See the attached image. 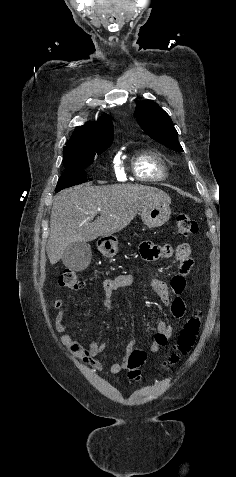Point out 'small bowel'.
Returning <instances> with one entry per match:
<instances>
[{"label": "small bowel", "instance_id": "1", "mask_svg": "<svg viewBox=\"0 0 236 477\" xmlns=\"http://www.w3.org/2000/svg\"><path fill=\"white\" fill-rule=\"evenodd\" d=\"M190 246L186 243L178 245L174 250L171 244L157 245L153 242L147 241L141 245V257L148 261H155L159 259H168L175 253L179 260V272L171 281V287L165 281L159 278H151L149 280V287L157 294L160 300L167 306H170L171 313L176 319H182L186 314V306L182 299V294L185 291V277L191 272L194 261L190 256ZM133 282L132 276L129 274L118 275L114 278H107L103 282L102 287V303L104 308L109 311L113 305V295L115 292L129 287ZM172 294L174 297H172ZM64 302L61 298H56L53 301L54 308L59 312L55 318V327L58 332L63 333L67 326L65 323V314L63 311ZM173 334V326L161 321L158 324L157 330L153 336L150 345V352L157 353L164 347ZM61 342L71 352L79 356L84 362L90 363L92 367L98 371L102 370V363L98 359V355L102 353L106 345L94 341L89 346H83L72 335L62 334ZM135 346V341L129 339L123 347V357L120 361L112 363L109 367L111 374H118L128 367V359L131 351Z\"/></svg>", "mask_w": 236, "mask_h": 477}]
</instances>
